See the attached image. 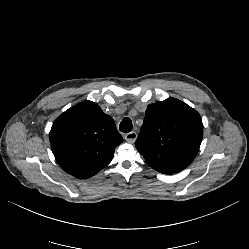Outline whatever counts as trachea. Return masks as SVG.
I'll list each match as a JSON object with an SVG mask.
<instances>
[{
	"instance_id": "1",
	"label": "trachea",
	"mask_w": 249,
	"mask_h": 249,
	"mask_svg": "<svg viewBox=\"0 0 249 249\" xmlns=\"http://www.w3.org/2000/svg\"><path fill=\"white\" fill-rule=\"evenodd\" d=\"M120 131L122 132H130L132 130V121L130 118L125 117L119 126Z\"/></svg>"
}]
</instances>
